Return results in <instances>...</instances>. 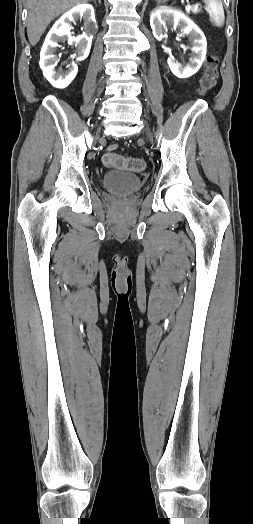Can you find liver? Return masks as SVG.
I'll use <instances>...</instances> for the list:
<instances>
[{"label":"liver","mask_w":253,"mask_h":524,"mask_svg":"<svg viewBox=\"0 0 253 524\" xmlns=\"http://www.w3.org/2000/svg\"><path fill=\"white\" fill-rule=\"evenodd\" d=\"M91 0H27V34L29 42L35 46L48 24L61 13L73 6Z\"/></svg>","instance_id":"obj_1"}]
</instances>
